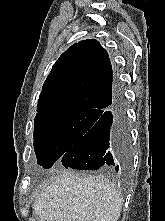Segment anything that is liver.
I'll return each mask as SVG.
<instances>
[{
  "label": "liver",
  "mask_w": 165,
  "mask_h": 221,
  "mask_svg": "<svg viewBox=\"0 0 165 221\" xmlns=\"http://www.w3.org/2000/svg\"><path fill=\"white\" fill-rule=\"evenodd\" d=\"M32 208L40 221H117L122 201L106 178L64 171L41 188Z\"/></svg>",
  "instance_id": "6515ba94"
}]
</instances>
